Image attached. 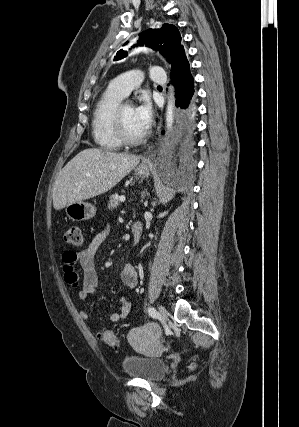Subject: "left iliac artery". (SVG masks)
Listing matches in <instances>:
<instances>
[{
	"mask_svg": "<svg viewBox=\"0 0 299 427\" xmlns=\"http://www.w3.org/2000/svg\"><path fill=\"white\" fill-rule=\"evenodd\" d=\"M148 313H149V315L151 316V317H153V318H157L158 317V312L156 311V309L155 308H153V307H149L148 308Z\"/></svg>",
	"mask_w": 299,
	"mask_h": 427,
	"instance_id": "1",
	"label": "left iliac artery"
}]
</instances>
